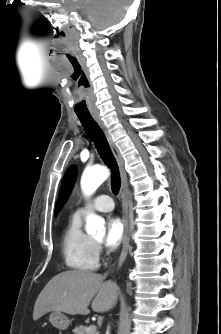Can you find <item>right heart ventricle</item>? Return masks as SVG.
Returning <instances> with one entry per match:
<instances>
[{"label":"right heart ventricle","instance_id":"e07e8e85","mask_svg":"<svg viewBox=\"0 0 221 334\" xmlns=\"http://www.w3.org/2000/svg\"><path fill=\"white\" fill-rule=\"evenodd\" d=\"M62 252L70 269L88 272L99 267V250L96 242L82 230L81 217L73 215L62 236Z\"/></svg>","mask_w":221,"mask_h":334}]
</instances>
